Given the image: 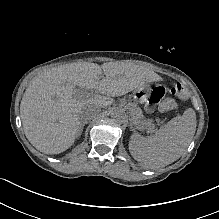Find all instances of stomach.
Listing matches in <instances>:
<instances>
[{"instance_id": "0dacf381", "label": "stomach", "mask_w": 219, "mask_h": 219, "mask_svg": "<svg viewBox=\"0 0 219 219\" xmlns=\"http://www.w3.org/2000/svg\"><path fill=\"white\" fill-rule=\"evenodd\" d=\"M150 93L149 86L139 87L135 90V98L139 100L145 99Z\"/></svg>"}]
</instances>
